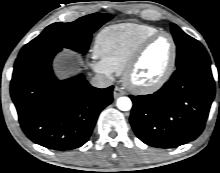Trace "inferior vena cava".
Wrapping results in <instances>:
<instances>
[{"label": "inferior vena cava", "mask_w": 220, "mask_h": 173, "mask_svg": "<svg viewBox=\"0 0 220 173\" xmlns=\"http://www.w3.org/2000/svg\"><path fill=\"white\" fill-rule=\"evenodd\" d=\"M90 83L96 88H107L113 84V79L104 74H96Z\"/></svg>", "instance_id": "inferior-vena-cava-1"}]
</instances>
